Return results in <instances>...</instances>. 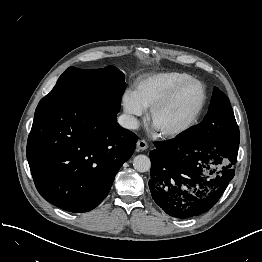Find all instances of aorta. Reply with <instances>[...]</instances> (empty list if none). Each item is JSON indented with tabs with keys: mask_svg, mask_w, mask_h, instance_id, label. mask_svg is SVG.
Wrapping results in <instances>:
<instances>
[{
	"mask_svg": "<svg viewBox=\"0 0 262 262\" xmlns=\"http://www.w3.org/2000/svg\"><path fill=\"white\" fill-rule=\"evenodd\" d=\"M133 166L138 172H146L151 167V161L146 155H137L133 160Z\"/></svg>",
	"mask_w": 262,
	"mask_h": 262,
	"instance_id": "aorta-1",
	"label": "aorta"
}]
</instances>
